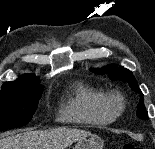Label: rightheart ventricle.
<instances>
[{"mask_svg": "<svg viewBox=\"0 0 155 149\" xmlns=\"http://www.w3.org/2000/svg\"><path fill=\"white\" fill-rule=\"evenodd\" d=\"M103 93L92 86L79 82L74 85L67 99L61 104L58 120L83 126H108L115 120L100 107Z\"/></svg>", "mask_w": 155, "mask_h": 149, "instance_id": "obj_1", "label": "right heart ventricle"}]
</instances>
